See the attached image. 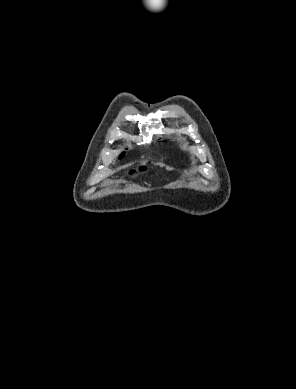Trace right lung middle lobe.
I'll return each mask as SVG.
<instances>
[{
	"label": "right lung middle lobe",
	"instance_id": "1",
	"mask_svg": "<svg viewBox=\"0 0 296 389\" xmlns=\"http://www.w3.org/2000/svg\"><path fill=\"white\" fill-rule=\"evenodd\" d=\"M124 156V154L120 155L119 159H121Z\"/></svg>",
	"mask_w": 296,
	"mask_h": 389
}]
</instances>
